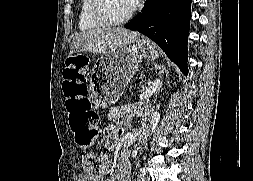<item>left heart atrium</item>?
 <instances>
[{
    "label": "left heart atrium",
    "mask_w": 253,
    "mask_h": 181,
    "mask_svg": "<svg viewBox=\"0 0 253 181\" xmlns=\"http://www.w3.org/2000/svg\"><path fill=\"white\" fill-rule=\"evenodd\" d=\"M127 2L131 9H137L141 5L142 0H127Z\"/></svg>",
    "instance_id": "1"
}]
</instances>
